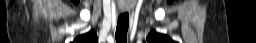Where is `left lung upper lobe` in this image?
Masks as SVG:
<instances>
[{
    "instance_id": "5c2ea615",
    "label": "left lung upper lobe",
    "mask_w": 256,
    "mask_h": 43,
    "mask_svg": "<svg viewBox=\"0 0 256 43\" xmlns=\"http://www.w3.org/2000/svg\"><path fill=\"white\" fill-rule=\"evenodd\" d=\"M148 43H174L168 36L152 31L147 38Z\"/></svg>"
}]
</instances>
